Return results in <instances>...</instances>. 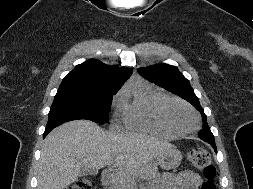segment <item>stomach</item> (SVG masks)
<instances>
[{"mask_svg":"<svg viewBox=\"0 0 253 189\" xmlns=\"http://www.w3.org/2000/svg\"><path fill=\"white\" fill-rule=\"evenodd\" d=\"M181 160V152L177 148L172 147L160 154L156 159V163L160 165L161 168L170 170L178 167Z\"/></svg>","mask_w":253,"mask_h":189,"instance_id":"stomach-1","label":"stomach"}]
</instances>
